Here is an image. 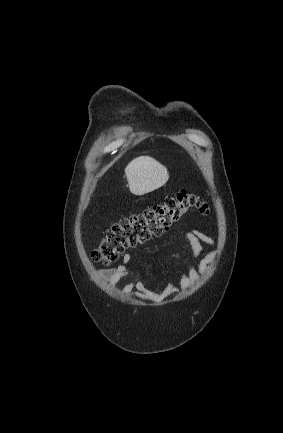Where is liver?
Wrapping results in <instances>:
<instances>
[{
  "instance_id": "6515ba94",
  "label": "liver",
  "mask_w": 283,
  "mask_h": 433,
  "mask_svg": "<svg viewBox=\"0 0 283 433\" xmlns=\"http://www.w3.org/2000/svg\"><path fill=\"white\" fill-rule=\"evenodd\" d=\"M130 192L146 194L160 188L169 178V172L161 162L152 156H137L125 168Z\"/></svg>"
}]
</instances>
